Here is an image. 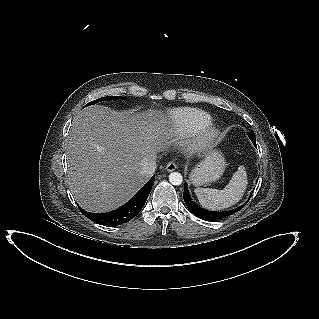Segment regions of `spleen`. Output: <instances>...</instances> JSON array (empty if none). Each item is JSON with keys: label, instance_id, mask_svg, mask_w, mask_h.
<instances>
[{"label": "spleen", "instance_id": "1", "mask_svg": "<svg viewBox=\"0 0 319 319\" xmlns=\"http://www.w3.org/2000/svg\"><path fill=\"white\" fill-rule=\"evenodd\" d=\"M247 185V172L245 167L241 165L224 189L196 188L194 191L203 207L210 210H221L239 202Z\"/></svg>", "mask_w": 319, "mask_h": 319}]
</instances>
